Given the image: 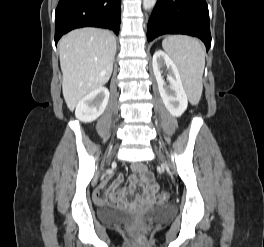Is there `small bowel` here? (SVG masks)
Here are the masks:
<instances>
[{
    "label": "small bowel",
    "mask_w": 264,
    "mask_h": 247,
    "mask_svg": "<svg viewBox=\"0 0 264 247\" xmlns=\"http://www.w3.org/2000/svg\"><path fill=\"white\" fill-rule=\"evenodd\" d=\"M131 178L130 186L119 190V185L122 182V176H118L111 186L108 188L106 195L103 194L102 190L95 192V199L99 203L111 202L114 204H124L127 200V196L136 193L137 187L142 183L145 185V189L142 197L136 195V200L150 201L153 199L157 192V184L154 180L153 175L148 172L146 166L143 163H134L131 165Z\"/></svg>",
    "instance_id": "obj_1"
}]
</instances>
